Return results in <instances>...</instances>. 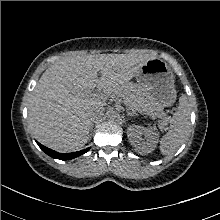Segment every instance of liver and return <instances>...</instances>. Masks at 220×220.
I'll return each instance as SVG.
<instances>
[{
    "instance_id": "liver-1",
    "label": "liver",
    "mask_w": 220,
    "mask_h": 220,
    "mask_svg": "<svg viewBox=\"0 0 220 220\" xmlns=\"http://www.w3.org/2000/svg\"><path fill=\"white\" fill-rule=\"evenodd\" d=\"M150 59L140 54H81L55 62L29 100L28 120L35 138L59 152L82 148L89 139L90 112L120 96ZM95 87L98 93H92Z\"/></svg>"
}]
</instances>
